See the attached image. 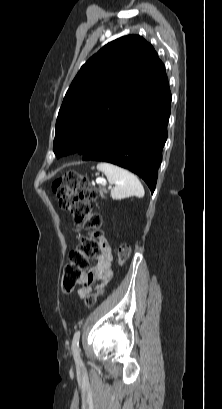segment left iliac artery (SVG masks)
I'll use <instances>...</instances> for the list:
<instances>
[{
    "label": "left iliac artery",
    "mask_w": 222,
    "mask_h": 409,
    "mask_svg": "<svg viewBox=\"0 0 222 409\" xmlns=\"http://www.w3.org/2000/svg\"><path fill=\"white\" fill-rule=\"evenodd\" d=\"M79 339H80V330H77L72 340V352L76 360H80Z\"/></svg>",
    "instance_id": "44dca946"
}]
</instances>
